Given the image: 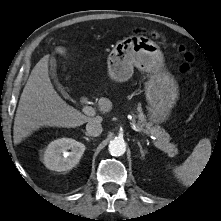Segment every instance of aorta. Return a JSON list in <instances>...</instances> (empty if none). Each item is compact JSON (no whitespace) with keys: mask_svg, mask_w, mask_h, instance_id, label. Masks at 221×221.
<instances>
[{"mask_svg":"<svg viewBox=\"0 0 221 221\" xmlns=\"http://www.w3.org/2000/svg\"><path fill=\"white\" fill-rule=\"evenodd\" d=\"M126 151V144L124 140L114 139L109 143V152L113 156H121Z\"/></svg>","mask_w":221,"mask_h":221,"instance_id":"762f6f07","label":"aorta"}]
</instances>
